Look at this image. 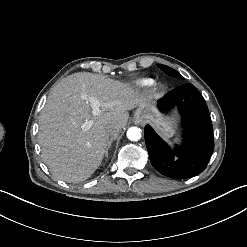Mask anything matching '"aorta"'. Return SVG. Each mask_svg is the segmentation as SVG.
I'll list each match as a JSON object with an SVG mask.
<instances>
[{"instance_id": "aorta-1", "label": "aorta", "mask_w": 247, "mask_h": 247, "mask_svg": "<svg viewBox=\"0 0 247 247\" xmlns=\"http://www.w3.org/2000/svg\"><path fill=\"white\" fill-rule=\"evenodd\" d=\"M127 137L131 141H137L141 138V131L137 127H131L127 131Z\"/></svg>"}]
</instances>
